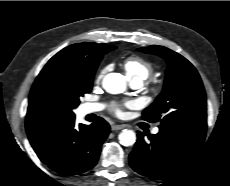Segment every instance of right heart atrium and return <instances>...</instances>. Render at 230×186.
Here are the masks:
<instances>
[{
    "instance_id": "obj_1",
    "label": "right heart atrium",
    "mask_w": 230,
    "mask_h": 186,
    "mask_svg": "<svg viewBox=\"0 0 230 186\" xmlns=\"http://www.w3.org/2000/svg\"><path fill=\"white\" fill-rule=\"evenodd\" d=\"M107 70H108V67H107V66L104 67V68L99 72V74H98V76H97V79L100 80V79L104 76V74L107 72Z\"/></svg>"
}]
</instances>
